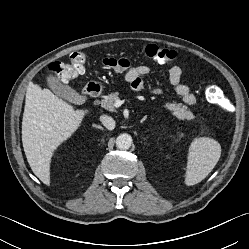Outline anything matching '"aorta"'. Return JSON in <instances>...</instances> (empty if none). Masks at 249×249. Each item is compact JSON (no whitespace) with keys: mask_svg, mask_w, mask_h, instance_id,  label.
I'll use <instances>...</instances> for the list:
<instances>
[{"mask_svg":"<svg viewBox=\"0 0 249 249\" xmlns=\"http://www.w3.org/2000/svg\"><path fill=\"white\" fill-rule=\"evenodd\" d=\"M132 141V137L129 134L123 133L117 137L116 146L118 149L126 150L131 147Z\"/></svg>","mask_w":249,"mask_h":249,"instance_id":"aorta-1","label":"aorta"}]
</instances>
